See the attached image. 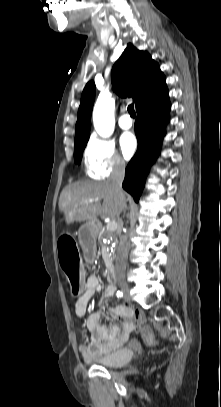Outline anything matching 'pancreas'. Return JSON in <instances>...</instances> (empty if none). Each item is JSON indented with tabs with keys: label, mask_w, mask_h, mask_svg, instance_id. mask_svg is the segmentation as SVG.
Wrapping results in <instances>:
<instances>
[{
	"label": "pancreas",
	"mask_w": 221,
	"mask_h": 407,
	"mask_svg": "<svg viewBox=\"0 0 221 407\" xmlns=\"http://www.w3.org/2000/svg\"><path fill=\"white\" fill-rule=\"evenodd\" d=\"M113 231H105L102 236H101V241H100V250L102 254V258L105 262L106 267H109L111 264V258L110 254L108 252V249L102 244V239L103 238H109L111 237Z\"/></svg>",
	"instance_id": "1"
}]
</instances>
